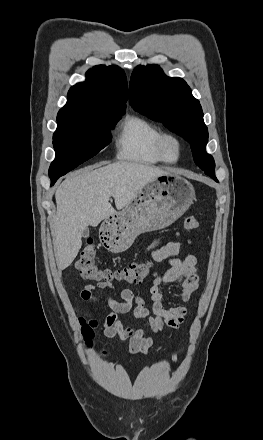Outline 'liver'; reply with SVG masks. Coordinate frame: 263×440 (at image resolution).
<instances>
[{"label": "liver", "mask_w": 263, "mask_h": 440, "mask_svg": "<svg viewBox=\"0 0 263 440\" xmlns=\"http://www.w3.org/2000/svg\"><path fill=\"white\" fill-rule=\"evenodd\" d=\"M168 173L158 167L121 161L87 167L67 177L55 193L57 212L52 236L58 268L64 270L71 265L87 226L96 227L117 213L109 203L110 197L121 210L153 179Z\"/></svg>", "instance_id": "liver-1"}]
</instances>
